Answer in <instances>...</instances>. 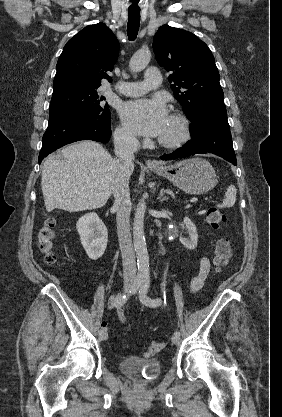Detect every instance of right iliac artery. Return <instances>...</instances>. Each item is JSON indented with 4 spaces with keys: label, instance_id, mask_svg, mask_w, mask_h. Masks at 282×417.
I'll list each match as a JSON object with an SVG mask.
<instances>
[{
    "label": "right iliac artery",
    "instance_id": "82829eb1",
    "mask_svg": "<svg viewBox=\"0 0 282 417\" xmlns=\"http://www.w3.org/2000/svg\"><path fill=\"white\" fill-rule=\"evenodd\" d=\"M142 282H143L142 279H139V278L136 279L135 285L132 288V290L128 294H119V295H117L114 298V300L112 301L111 306L112 307H116V308L122 307L125 304V302L128 300L129 296L137 292V290L139 289V287L142 285ZM104 329H102L101 332Z\"/></svg>",
    "mask_w": 282,
    "mask_h": 417
}]
</instances>
